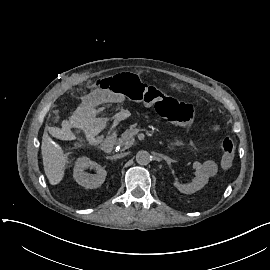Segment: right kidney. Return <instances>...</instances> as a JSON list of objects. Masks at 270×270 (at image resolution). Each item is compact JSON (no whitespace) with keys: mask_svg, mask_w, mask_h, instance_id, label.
Instances as JSON below:
<instances>
[{"mask_svg":"<svg viewBox=\"0 0 270 270\" xmlns=\"http://www.w3.org/2000/svg\"><path fill=\"white\" fill-rule=\"evenodd\" d=\"M95 170L96 174L89 175L87 174L86 170ZM107 173L105 169L100 166L98 163L89 160L86 157L79 158L75 164L74 168V178L75 181L87 188V189H94L103 184Z\"/></svg>","mask_w":270,"mask_h":270,"instance_id":"right-kidney-1","label":"right kidney"}]
</instances>
